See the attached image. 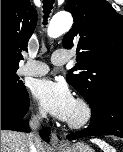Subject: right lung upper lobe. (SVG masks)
Wrapping results in <instances>:
<instances>
[{
    "label": "right lung upper lobe",
    "instance_id": "obj_1",
    "mask_svg": "<svg viewBox=\"0 0 123 152\" xmlns=\"http://www.w3.org/2000/svg\"><path fill=\"white\" fill-rule=\"evenodd\" d=\"M37 22L29 0H1V67L19 68Z\"/></svg>",
    "mask_w": 123,
    "mask_h": 152
}]
</instances>
